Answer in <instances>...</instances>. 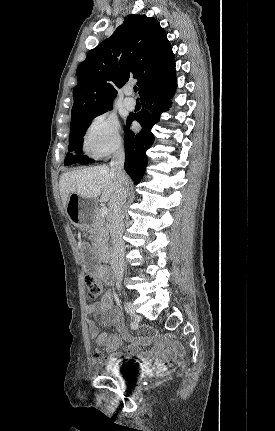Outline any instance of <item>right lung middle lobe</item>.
I'll return each mask as SVG.
<instances>
[{
	"mask_svg": "<svg viewBox=\"0 0 275 431\" xmlns=\"http://www.w3.org/2000/svg\"><path fill=\"white\" fill-rule=\"evenodd\" d=\"M111 108H107L105 110L90 114L88 116H85L81 119H78L74 122H71L70 127V142H69V153L67 154L64 164L71 165L77 162H93V160H90L86 156H82L81 148L83 144V136L85 135V132L90 125L91 121L98 115L103 114L107 110ZM79 152L80 155H74V153Z\"/></svg>",
	"mask_w": 275,
	"mask_h": 431,
	"instance_id": "obj_1",
	"label": "right lung middle lobe"
}]
</instances>
